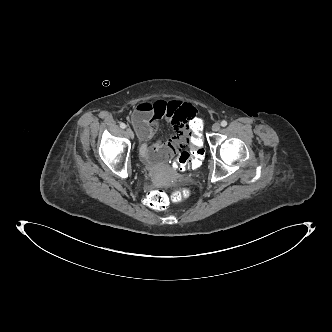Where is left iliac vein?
Wrapping results in <instances>:
<instances>
[{"instance_id": "1", "label": "left iliac vein", "mask_w": 332, "mask_h": 332, "mask_svg": "<svg viewBox=\"0 0 332 332\" xmlns=\"http://www.w3.org/2000/svg\"><path fill=\"white\" fill-rule=\"evenodd\" d=\"M220 130V124L219 123H214L212 126V131L217 132Z\"/></svg>"}]
</instances>
